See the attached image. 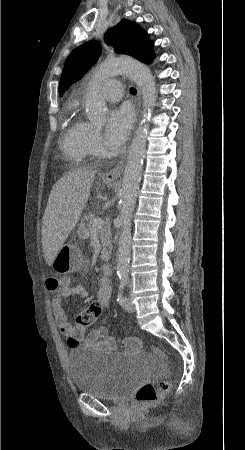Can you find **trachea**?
Masks as SVG:
<instances>
[{
	"instance_id": "trachea-1",
	"label": "trachea",
	"mask_w": 245,
	"mask_h": 450,
	"mask_svg": "<svg viewBox=\"0 0 245 450\" xmlns=\"http://www.w3.org/2000/svg\"><path fill=\"white\" fill-rule=\"evenodd\" d=\"M130 92H131L132 94H136V89H135L134 87H131V88H130Z\"/></svg>"
}]
</instances>
